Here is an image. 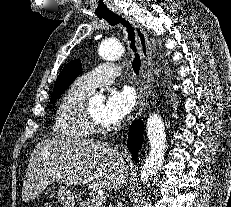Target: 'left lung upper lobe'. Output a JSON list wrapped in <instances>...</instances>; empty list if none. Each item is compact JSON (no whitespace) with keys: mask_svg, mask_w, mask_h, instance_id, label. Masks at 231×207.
<instances>
[{"mask_svg":"<svg viewBox=\"0 0 231 207\" xmlns=\"http://www.w3.org/2000/svg\"><path fill=\"white\" fill-rule=\"evenodd\" d=\"M80 60H74L68 63L58 75L50 102H54L80 74Z\"/></svg>","mask_w":231,"mask_h":207,"instance_id":"obj_1","label":"left lung upper lobe"}]
</instances>
